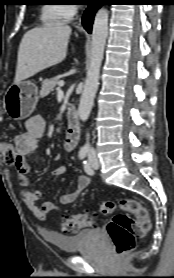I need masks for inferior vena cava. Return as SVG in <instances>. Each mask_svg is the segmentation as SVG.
I'll list each match as a JSON object with an SVG mask.
<instances>
[{"mask_svg": "<svg viewBox=\"0 0 174 278\" xmlns=\"http://www.w3.org/2000/svg\"><path fill=\"white\" fill-rule=\"evenodd\" d=\"M87 137H89V135H87ZM89 153H90V154H94V153H95L94 149H93V148H90V149H89Z\"/></svg>", "mask_w": 174, "mask_h": 278, "instance_id": "602c4592", "label": "inferior vena cava"}]
</instances>
